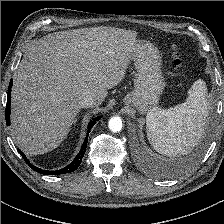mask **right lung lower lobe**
I'll return each mask as SVG.
<instances>
[{"label": "right lung lower lobe", "instance_id": "obj_1", "mask_svg": "<svg viewBox=\"0 0 224 224\" xmlns=\"http://www.w3.org/2000/svg\"><path fill=\"white\" fill-rule=\"evenodd\" d=\"M11 88H12V80L9 83V87H8V93H7V105H6V124L7 126L10 125V105H11ZM101 117H97L95 118L92 122L89 123L88 125V133L85 137V140L81 146V150L78 153V155L76 156V158L66 167L60 169V170H56V171H48V170H42L40 168L35 167L33 164H31L29 162V160L26 158V156L24 155V153H22L19 149V153L21 154V156L23 157V159L25 160V162L36 172L41 173V174H45V175H59V174H66V173H71L73 171H75L81 161L82 158L85 154L86 151V147H87V142H88V134L90 129L93 127V125L96 123V121H98Z\"/></svg>", "mask_w": 224, "mask_h": 224}]
</instances>
